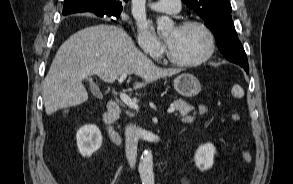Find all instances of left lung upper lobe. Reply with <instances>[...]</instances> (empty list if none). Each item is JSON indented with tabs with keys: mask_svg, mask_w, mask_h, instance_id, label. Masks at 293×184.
I'll list each match as a JSON object with an SVG mask.
<instances>
[{
	"mask_svg": "<svg viewBox=\"0 0 293 184\" xmlns=\"http://www.w3.org/2000/svg\"><path fill=\"white\" fill-rule=\"evenodd\" d=\"M182 2L206 22L226 59L233 61L246 58L232 21L229 0H182Z\"/></svg>",
	"mask_w": 293,
	"mask_h": 184,
	"instance_id": "left-lung-upper-lobe-1",
	"label": "left lung upper lobe"
}]
</instances>
